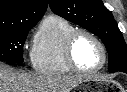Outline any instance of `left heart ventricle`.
<instances>
[{
	"instance_id": "b2bd125f",
	"label": "left heart ventricle",
	"mask_w": 127,
	"mask_h": 92,
	"mask_svg": "<svg viewBox=\"0 0 127 92\" xmlns=\"http://www.w3.org/2000/svg\"><path fill=\"white\" fill-rule=\"evenodd\" d=\"M74 57L81 69L92 70L102 62V54L98 45L88 36L78 37L74 46Z\"/></svg>"
}]
</instances>
